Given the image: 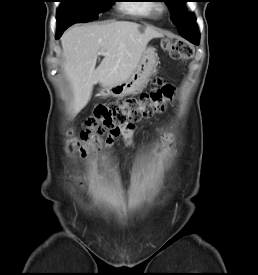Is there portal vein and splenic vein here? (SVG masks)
Returning <instances> with one entry per match:
<instances>
[{
  "label": "portal vein and splenic vein",
  "instance_id": "18ae733b",
  "mask_svg": "<svg viewBox=\"0 0 258 275\" xmlns=\"http://www.w3.org/2000/svg\"><path fill=\"white\" fill-rule=\"evenodd\" d=\"M99 54L104 55V51H103V50H101Z\"/></svg>",
  "mask_w": 258,
  "mask_h": 275
}]
</instances>
